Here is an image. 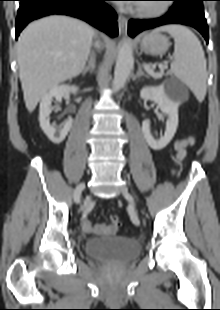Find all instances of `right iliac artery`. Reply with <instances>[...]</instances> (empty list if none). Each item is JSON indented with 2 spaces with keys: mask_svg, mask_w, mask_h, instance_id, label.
Returning a JSON list of instances; mask_svg holds the SVG:
<instances>
[{
  "mask_svg": "<svg viewBox=\"0 0 220 310\" xmlns=\"http://www.w3.org/2000/svg\"><path fill=\"white\" fill-rule=\"evenodd\" d=\"M85 188V185L83 183L79 184L74 192V199L77 203L80 202V196H81V192L83 191V189Z\"/></svg>",
  "mask_w": 220,
  "mask_h": 310,
  "instance_id": "obj_1",
  "label": "right iliac artery"
}]
</instances>
